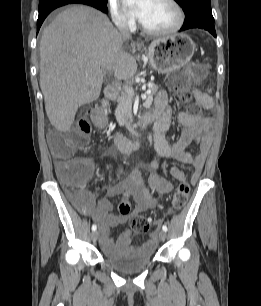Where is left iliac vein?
Returning <instances> with one entry per match:
<instances>
[{"label": "left iliac vein", "mask_w": 261, "mask_h": 306, "mask_svg": "<svg viewBox=\"0 0 261 306\" xmlns=\"http://www.w3.org/2000/svg\"><path fill=\"white\" fill-rule=\"evenodd\" d=\"M159 238H160L161 241H165L166 238H167L166 232L163 231V230H161V231L159 232Z\"/></svg>", "instance_id": "left-iliac-vein-1"}]
</instances>
